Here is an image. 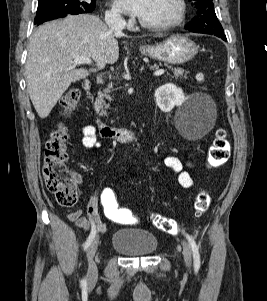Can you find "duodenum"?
Instances as JSON below:
<instances>
[{
    "label": "duodenum",
    "instance_id": "obj_1",
    "mask_svg": "<svg viewBox=\"0 0 267 301\" xmlns=\"http://www.w3.org/2000/svg\"><path fill=\"white\" fill-rule=\"evenodd\" d=\"M82 87L87 94L91 92L92 85L90 81L85 80L82 83ZM96 123L99 128L101 136L104 138L123 140V141H133L136 138V132L133 129L130 128L125 129V128L109 126L103 123L98 118H96Z\"/></svg>",
    "mask_w": 267,
    "mask_h": 301
}]
</instances>
